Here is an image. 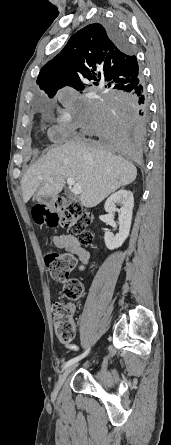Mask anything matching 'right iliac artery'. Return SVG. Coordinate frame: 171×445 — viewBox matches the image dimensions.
I'll use <instances>...</instances> for the list:
<instances>
[{
  "instance_id": "obj_1",
  "label": "right iliac artery",
  "mask_w": 171,
  "mask_h": 445,
  "mask_svg": "<svg viewBox=\"0 0 171 445\" xmlns=\"http://www.w3.org/2000/svg\"><path fill=\"white\" fill-rule=\"evenodd\" d=\"M89 350H90V348H88L83 354H81V355H79V356H77V357H75V358H72V359H70L69 361H67V362L64 364V366H63V370L66 369L67 367H69L70 365H72V364L78 362V361L81 360L82 358H84V357L88 354Z\"/></svg>"
}]
</instances>
